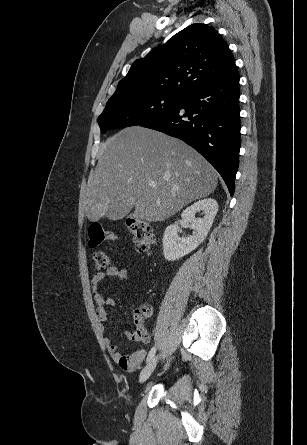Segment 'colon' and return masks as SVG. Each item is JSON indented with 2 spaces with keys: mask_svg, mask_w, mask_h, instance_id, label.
Instances as JSON below:
<instances>
[{
  "mask_svg": "<svg viewBox=\"0 0 307 445\" xmlns=\"http://www.w3.org/2000/svg\"><path fill=\"white\" fill-rule=\"evenodd\" d=\"M127 226L132 234L135 247L140 253H149L151 245L155 241V234L151 227L143 220L129 217ZM116 239V235L106 230L101 223L93 222L88 228V245L95 248L104 242H111ZM95 267L98 270H107L112 267L111 257L104 251H96L93 255ZM151 308L143 306L133 311L132 317L136 324V330L133 332L132 339L134 341H148V333L144 327V321L150 316Z\"/></svg>",
  "mask_w": 307,
  "mask_h": 445,
  "instance_id": "colon-1",
  "label": "colon"
}]
</instances>
